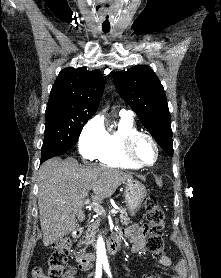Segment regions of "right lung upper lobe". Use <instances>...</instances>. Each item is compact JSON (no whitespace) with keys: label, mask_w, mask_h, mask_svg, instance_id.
<instances>
[{"label":"right lung upper lobe","mask_w":221,"mask_h":278,"mask_svg":"<svg viewBox=\"0 0 221 278\" xmlns=\"http://www.w3.org/2000/svg\"><path fill=\"white\" fill-rule=\"evenodd\" d=\"M104 86L99 70L65 68L61 70L51 89L45 114L91 118L99 106Z\"/></svg>","instance_id":"cb5924a9"}]
</instances>
